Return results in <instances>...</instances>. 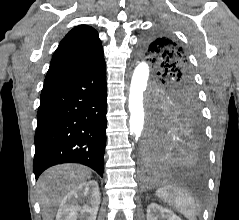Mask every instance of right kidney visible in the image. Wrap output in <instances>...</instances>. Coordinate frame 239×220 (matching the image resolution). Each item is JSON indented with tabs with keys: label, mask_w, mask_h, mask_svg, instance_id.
<instances>
[{
	"label": "right kidney",
	"mask_w": 239,
	"mask_h": 220,
	"mask_svg": "<svg viewBox=\"0 0 239 220\" xmlns=\"http://www.w3.org/2000/svg\"><path fill=\"white\" fill-rule=\"evenodd\" d=\"M86 204L81 206L82 200ZM100 204L98 183L94 180L73 187L62 199L56 220H96Z\"/></svg>",
	"instance_id": "1"
}]
</instances>
